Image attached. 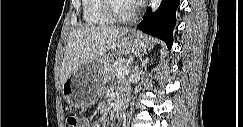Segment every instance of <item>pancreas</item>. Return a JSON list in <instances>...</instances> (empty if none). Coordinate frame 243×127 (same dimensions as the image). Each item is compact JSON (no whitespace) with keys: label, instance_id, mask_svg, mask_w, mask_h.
<instances>
[{"label":"pancreas","instance_id":"1","mask_svg":"<svg viewBox=\"0 0 243 127\" xmlns=\"http://www.w3.org/2000/svg\"><path fill=\"white\" fill-rule=\"evenodd\" d=\"M126 68V65L121 60H116L112 62V64L108 67L107 71V80L118 78L119 75L117 73V69Z\"/></svg>","mask_w":243,"mask_h":127}]
</instances>
